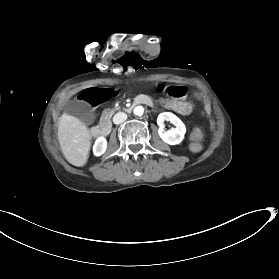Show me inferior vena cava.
I'll list each match as a JSON object with an SVG mask.
<instances>
[{
	"label": "inferior vena cava",
	"instance_id": "602c4592",
	"mask_svg": "<svg viewBox=\"0 0 279 279\" xmlns=\"http://www.w3.org/2000/svg\"><path fill=\"white\" fill-rule=\"evenodd\" d=\"M126 119H127V115L123 112H120L114 116L113 121L115 124H119L121 122H124Z\"/></svg>",
	"mask_w": 279,
	"mask_h": 279
}]
</instances>
